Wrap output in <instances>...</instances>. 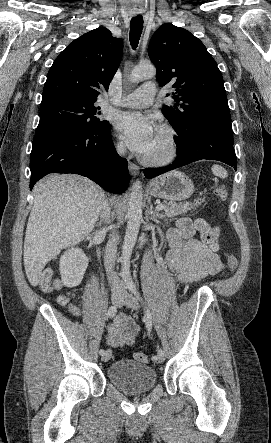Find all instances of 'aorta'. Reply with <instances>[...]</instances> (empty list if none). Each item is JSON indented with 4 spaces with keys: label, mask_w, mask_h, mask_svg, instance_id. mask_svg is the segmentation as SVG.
Returning <instances> with one entry per match:
<instances>
[{
    "label": "aorta",
    "mask_w": 271,
    "mask_h": 443,
    "mask_svg": "<svg viewBox=\"0 0 271 443\" xmlns=\"http://www.w3.org/2000/svg\"><path fill=\"white\" fill-rule=\"evenodd\" d=\"M156 76V68L153 64H139L135 66L130 74L131 82H141L146 78H154ZM142 200L143 188L141 182H134L129 196L128 210L126 214L127 227L122 245L121 253V275L124 281L132 283V275L130 271V257L133 247L137 241L140 223L142 222Z\"/></svg>",
    "instance_id": "obj_1"
}]
</instances>
